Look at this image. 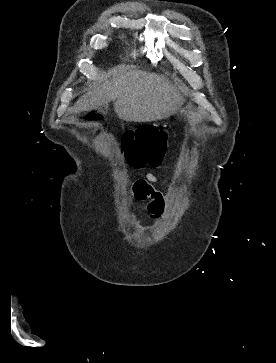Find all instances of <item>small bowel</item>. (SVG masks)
<instances>
[{"mask_svg": "<svg viewBox=\"0 0 276 363\" xmlns=\"http://www.w3.org/2000/svg\"><path fill=\"white\" fill-rule=\"evenodd\" d=\"M159 178L153 173H147L143 178H139L133 185V197L140 202H149V212L156 214L164 207L163 193L154 187ZM163 185H168L167 180H163Z\"/></svg>", "mask_w": 276, "mask_h": 363, "instance_id": "c3829d8e", "label": "small bowel"}]
</instances>
